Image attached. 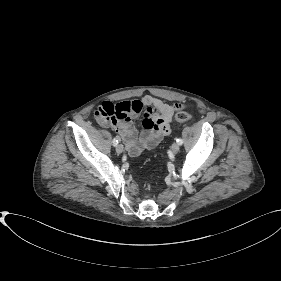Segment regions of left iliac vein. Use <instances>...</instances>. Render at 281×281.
Wrapping results in <instances>:
<instances>
[{
	"instance_id": "4c4485c4",
	"label": "left iliac vein",
	"mask_w": 281,
	"mask_h": 281,
	"mask_svg": "<svg viewBox=\"0 0 281 281\" xmlns=\"http://www.w3.org/2000/svg\"><path fill=\"white\" fill-rule=\"evenodd\" d=\"M171 150H172V152H173L174 154H177V153L179 152V150H180L179 144H178V143L172 144Z\"/></svg>"
}]
</instances>
